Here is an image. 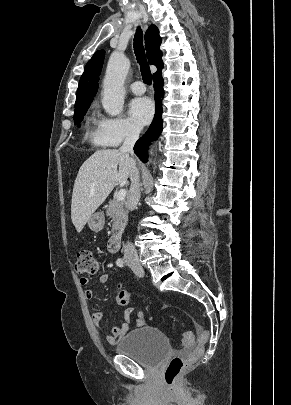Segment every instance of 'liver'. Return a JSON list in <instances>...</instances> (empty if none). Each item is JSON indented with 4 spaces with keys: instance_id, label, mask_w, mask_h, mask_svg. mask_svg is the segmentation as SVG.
<instances>
[{
    "instance_id": "liver-1",
    "label": "liver",
    "mask_w": 291,
    "mask_h": 405,
    "mask_svg": "<svg viewBox=\"0 0 291 405\" xmlns=\"http://www.w3.org/2000/svg\"><path fill=\"white\" fill-rule=\"evenodd\" d=\"M133 162L128 153L106 149L96 151L82 164L71 203V220L77 232L82 231L114 187L129 178Z\"/></svg>"
}]
</instances>
